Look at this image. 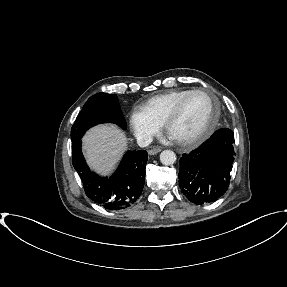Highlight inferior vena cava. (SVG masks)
I'll use <instances>...</instances> for the list:
<instances>
[{
	"label": "inferior vena cava",
	"instance_id": "obj_1",
	"mask_svg": "<svg viewBox=\"0 0 287 287\" xmlns=\"http://www.w3.org/2000/svg\"><path fill=\"white\" fill-rule=\"evenodd\" d=\"M152 142V137L148 135H139L137 137V144L140 147H147Z\"/></svg>",
	"mask_w": 287,
	"mask_h": 287
}]
</instances>
